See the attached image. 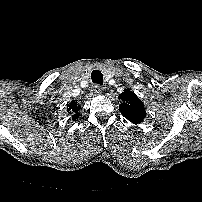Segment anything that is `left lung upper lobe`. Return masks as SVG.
<instances>
[{"label":"left lung upper lobe","mask_w":202,"mask_h":202,"mask_svg":"<svg viewBox=\"0 0 202 202\" xmlns=\"http://www.w3.org/2000/svg\"><path fill=\"white\" fill-rule=\"evenodd\" d=\"M118 98L122 100L119 110L126 119L134 124L144 120L146 116L144 104L134 92L125 89Z\"/></svg>","instance_id":"obj_1"}]
</instances>
